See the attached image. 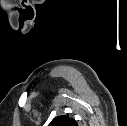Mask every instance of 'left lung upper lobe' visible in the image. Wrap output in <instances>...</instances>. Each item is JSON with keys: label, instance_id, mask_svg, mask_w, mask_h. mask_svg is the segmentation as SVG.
<instances>
[{"label": "left lung upper lobe", "instance_id": "obj_1", "mask_svg": "<svg viewBox=\"0 0 127 126\" xmlns=\"http://www.w3.org/2000/svg\"><path fill=\"white\" fill-rule=\"evenodd\" d=\"M48 126H77V122L69 116L55 117Z\"/></svg>", "mask_w": 127, "mask_h": 126}]
</instances>
